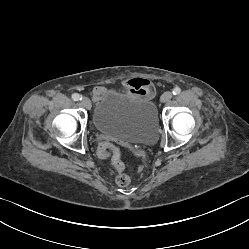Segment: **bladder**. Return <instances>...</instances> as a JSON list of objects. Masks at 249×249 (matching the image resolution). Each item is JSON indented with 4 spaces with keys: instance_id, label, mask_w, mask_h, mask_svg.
<instances>
[{
    "instance_id": "obj_1",
    "label": "bladder",
    "mask_w": 249,
    "mask_h": 249,
    "mask_svg": "<svg viewBox=\"0 0 249 249\" xmlns=\"http://www.w3.org/2000/svg\"><path fill=\"white\" fill-rule=\"evenodd\" d=\"M93 123L101 133L129 144H152L158 135L153 101L129 92L107 91L96 105Z\"/></svg>"
}]
</instances>
